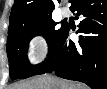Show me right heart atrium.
Instances as JSON below:
<instances>
[{
    "mask_svg": "<svg viewBox=\"0 0 107 89\" xmlns=\"http://www.w3.org/2000/svg\"><path fill=\"white\" fill-rule=\"evenodd\" d=\"M49 42L45 35L37 33L32 35L26 45L27 57L31 63L40 62L47 54Z\"/></svg>",
    "mask_w": 107,
    "mask_h": 89,
    "instance_id": "d8ad5b80",
    "label": "right heart atrium"
}]
</instances>
